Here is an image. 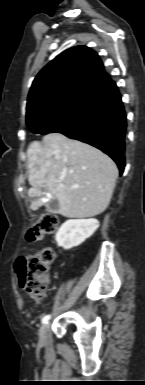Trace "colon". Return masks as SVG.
Returning <instances> with one entry per match:
<instances>
[{"mask_svg":"<svg viewBox=\"0 0 145 385\" xmlns=\"http://www.w3.org/2000/svg\"><path fill=\"white\" fill-rule=\"evenodd\" d=\"M59 225L56 215L45 213L40 215L29 228L26 238L28 241H38L52 234ZM55 253L46 247L34 254L21 257L16 264V274L20 288L27 296L35 301H41L49 284L48 267L53 262Z\"/></svg>","mask_w":145,"mask_h":385,"instance_id":"1","label":"colon"}]
</instances>
